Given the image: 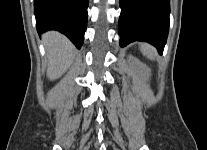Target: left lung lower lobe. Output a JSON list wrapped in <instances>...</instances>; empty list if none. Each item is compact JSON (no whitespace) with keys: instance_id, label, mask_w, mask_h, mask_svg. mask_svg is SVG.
I'll use <instances>...</instances> for the list:
<instances>
[{"instance_id":"0a47b994","label":"left lung lower lobe","mask_w":207,"mask_h":150,"mask_svg":"<svg viewBox=\"0 0 207 150\" xmlns=\"http://www.w3.org/2000/svg\"><path fill=\"white\" fill-rule=\"evenodd\" d=\"M120 46L146 41L162 54L169 31V0H120Z\"/></svg>"}]
</instances>
